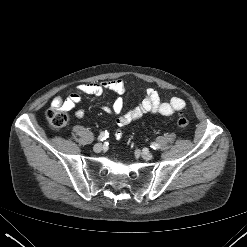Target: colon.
Here are the masks:
<instances>
[{
	"instance_id": "1",
	"label": "colon",
	"mask_w": 247,
	"mask_h": 247,
	"mask_svg": "<svg viewBox=\"0 0 247 247\" xmlns=\"http://www.w3.org/2000/svg\"><path fill=\"white\" fill-rule=\"evenodd\" d=\"M46 117L49 125L56 130L65 127L69 120L68 114L65 110L54 107L47 111ZM176 124L179 128L184 129L188 126L189 121L185 116L179 115L176 119ZM121 136V131H118L116 134L117 139H120Z\"/></svg>"
}]
</instances>
